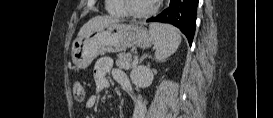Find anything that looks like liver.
<instances>
[{
    "label": "liver",
    "mask_w": 273,
    "mask_h": 118,
    "mask_svg": "<svg viewBox=\"0 0 273 118\" xmlns=\"http://www.w3.org/2000/svg\"><path fill=\"white\" fill-rule=\"evenodd\" d=\"M117 22L116 19L110 17V16H96L92 19H90L86 24L82 26L78 33V37L91 32L92 30L108 25L110 23Z\"/></svg>",
    "instance_id": "liver-1"
}]
</instances>
